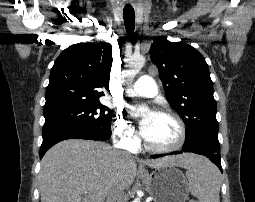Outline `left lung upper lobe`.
Returning <instances> with one entry per match:
<instances>
[{"instance_id": "5c2ea615", "label": "left lung upper lobe", "mask_w": 255, "mask_h": 202, "mask_svg": "<svg viewBox=\"0 0 255 202\" xmlns=\"http://www.w3.org/2000/svg\"><path fill=\"white\" fill-rule=\"evenodd\" d=\"M166 97L186 124L184 148L220 147L213 84L204 57L192 46L157 37L150 50Z\"/></svg>"}]
</instances>
